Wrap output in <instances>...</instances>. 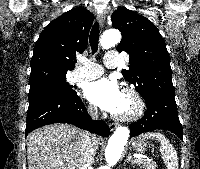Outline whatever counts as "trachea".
Wrapping results in <instances>:
<instances>
[{
    "label": "trachea",
    "mask_w": 200,
    "mask_h": 169,
    "mask_svg": "<svg viewBox=\"0 0 200 169\" xmlns=\"http://www.w3.org/2000/svg\"><path fill=\"white\" fill-rule=\"evenodd\" d=\"M99 36H100L99 24L95 22L91 29L89 38L92 54L96 53L98 50Z\"/></svg>",
    "instance_id": "trachea-1"
}]
</instances>
